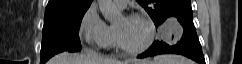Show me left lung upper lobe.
Listing matches in <instances>:
<instances>
[{
	"mask_svg": "<svg viewBox=\"0 0 242 64\" xmlns=\"http://www.w3.org/2000/svg\"><path fill=\"white\" fill-rule=\"evenodd\" d=\"M152 18L156 27L161 25L173 13L191 8L190 0H137Z\"/></svg>",
	"mask_w": 242,
	"mask_h": 64,
	"instance_id": "obj_1",
	"label": "left lung upper lobe"
}]
</instances>
